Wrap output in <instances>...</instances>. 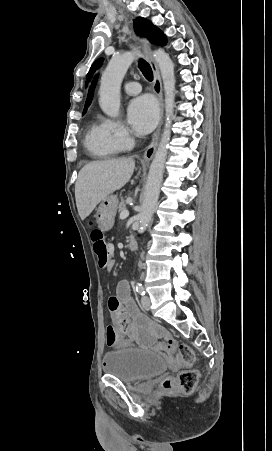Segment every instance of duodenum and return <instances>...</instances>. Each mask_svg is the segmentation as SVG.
Segmentation results:
<instances>
[{"instance_id": "410a0bca", "label": "duodenum", "mask_w": 272, "mask_h": 451, "mask_svg": "<svg viewBox=\"0 0 272 451\" xmlns=\"http://www.w3.org/2000/svg\"><path fill=\"white\" fill-rule=\"evenodd\" d=\"M128 248L130 250H135L137 248V243L134 239H130V241L128 243Z\"/></svg>"}]
</instances>
